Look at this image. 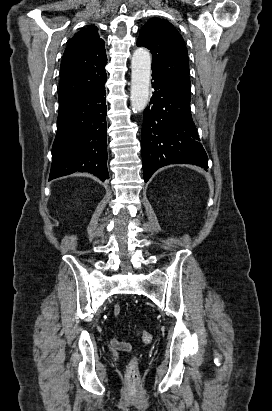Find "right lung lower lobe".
<instances>
[{
    "instance_id": "1",
    "label": "right lung lower lobe",
    "mask_w": 272,
    "mask_h": 411,
    "mask_svg": "<svg viewBox=\"0 0 272 411\" xmlns=\"http://www.w3.org/2000/svg\"><path fill=\"white\" fill-rule=\"evenodd\" d=\"M105 83L59 102L49 180L74 172H89L102 181L109 178Z\"/></svg>"
}]
</instances>
